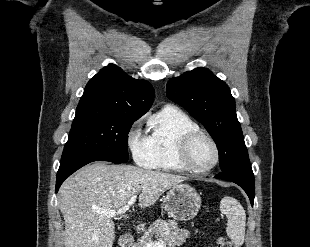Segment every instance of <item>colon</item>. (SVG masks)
<instances>
[{"mask_svg": "<svg viewBox=\"0 0 310 247\" xmlns=\"http://www.w3.org/2000/svg\"><path fill=\"white\" fill-rule=\"evenodd\" d=\"M219 247H237L231 240L227 238H221L219 241Z\"/></svg>", "mask_w": 310, "mask_h": 247, "instance_id": "1", "label": "colon"}]
</instances>
